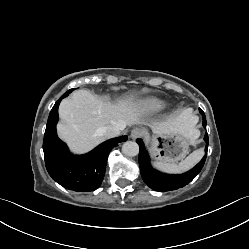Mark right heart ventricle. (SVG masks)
Segmentation results:
<instances>
[{
  "instance_id": "e07e8e85",
  "label": "right heart ventricle",
  "mask_w": 249,
  "mask_h": 249,
  "mask_svg": "<svg viewBox=\"0 0 249 249\" xmlns=\"http://www.w3.org/2000/svg\"><path fill=\"white\" fill-rule=\"evenodd\" d=\"M145 106L152 111H157L165 107V103L159 99L151 98L145 102Z\"/></svg>"
}]
</instances>
